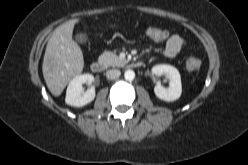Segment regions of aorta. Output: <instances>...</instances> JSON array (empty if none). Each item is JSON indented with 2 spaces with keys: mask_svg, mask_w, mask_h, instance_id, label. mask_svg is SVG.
Masks as SVG:
<instances>
[{
  "mask_svg": "<svg viewBox=\"0 0 248 165\" xmlns=\"http://www.w3.org/2000/svg\"><path fill=\"white\" fill-rule=\"evenodd\" d=\"M124 77L128 81H132L135 78V73L133 70H126L124 73Z\"/></svg>",
  "mask_w": 248,
  "mask_h": 165,
  "instance_id": "762f6f07",
  "label": "aorta"
}]
</instances>
